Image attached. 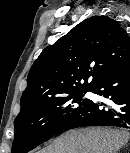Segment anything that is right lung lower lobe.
<instances>
[{"label":"right lung lower lobe","instance_id":"right-lung-lower-lobe-1","mask_svg":"<svg viewBox=\"0 0 130 153\" xmlns=\"http://www.w3.org/2000/svg\"><path fill=\"white\" fill-rule=\"evenodd\" d=\"M91 91L108 101L99 103L90 100L69 121L64 131L84 126H117L130 129V61L103 76Z\"/></svg>","mask_w":130,"mask_h":153}]
</instances>
